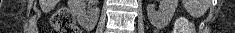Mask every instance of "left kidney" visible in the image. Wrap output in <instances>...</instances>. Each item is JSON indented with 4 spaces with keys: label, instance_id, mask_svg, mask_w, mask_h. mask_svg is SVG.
<instances>
[{
    "label": "left kidney",
    "instance_id": "5707ae66",
    "mask_svg": "<svg viewBox=\"0 0 235 33\" xmlns=\"http://www.w3.org/2000/svg\"><path fill=\"white\" fill-rule=\"evenodd\" d=\"M178 0H162L160 11L155 10L154 4L147 6V16L150 22L157 26L167 25L177 8Z\"/></svg>",
    "mask_w": 235,
    "mask_h": 33
}]
</instances>
